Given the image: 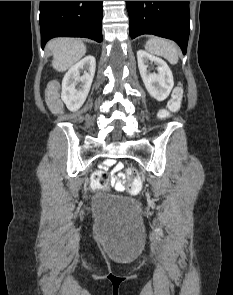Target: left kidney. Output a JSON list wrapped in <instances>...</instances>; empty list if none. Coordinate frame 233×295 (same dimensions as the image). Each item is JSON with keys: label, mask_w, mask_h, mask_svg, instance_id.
Masks as SVG:
<instances>
[{"label": "left kidney", "mask_w": 233, "mask_h": 295, "mask_svg": "<svg viewBox=\"0 0 233 295\" xmlns=\"http://www.w3.org/2000/svg\"><path fill=\"white\" fill-rule=\"evenodd\" d=\"M137 60L140 75L148 93L158 101L165 100L174 85L173 75L167 63L144 50L137 51ZM149 61L157 65V73H150L147 70Z\"/></svg>", "instance_id": "5707ae66"}]
</instances>
